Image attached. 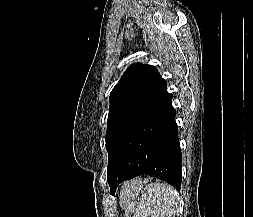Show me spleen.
<instances>
[{
  "mask_svg": "<svg viewBox=\"0 0 253 217\" xmlns=\"http://www.w3.org/2000/svg\"><path fill=\"white\" fill-rule=\"evenodd\" d=\"M177 195V191L169 184H147L137 205L135 217H174L178 208ZM128 198L124 197L122 202Z\"/></svg>",
  "mask_w": 253,
  "mask_h": 217,
  "instance_id": "3e777b00",
  "label": "spleen"
}]
</instances>
